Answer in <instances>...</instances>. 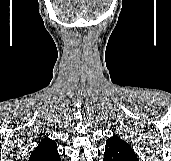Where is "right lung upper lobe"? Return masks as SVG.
Masks as SVG:
<instances>
[{
	"label": "right lung upper lobe",
	"instance_id": "cb5924a9",
	"mask_svg": "<svg viewBox=\"0 0 171 161\" xmlns=\"http://www.w3.org/2000/svg\"><path fill=\"white\" fill-rule=\"evenodd\" d=\"M28 161H61L56 142L45 138L31 153Z\"/></svg>",
	"mask_w": 171,
	"mask_h": 161
}]
</instances>
